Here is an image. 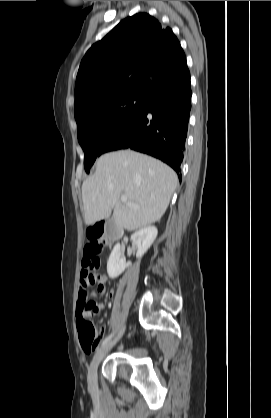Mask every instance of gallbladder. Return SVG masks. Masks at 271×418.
I'll list each match as a JSON object with an SVG mask.
<instances>
[{
  "mask_svg": "<svg viewBox=\"0 0 271 418\" xmlns=\"http://www.w3.org/2000/svg\"><path fill=\"white\" fill-rule=\"evenodd\" d=\"M121 232V229L115 224V221L112 217L107 218L106 221V233L109 236L116 235L118 236Z\"/></svg>",
  "mask_w": 271,
  "mask_h": 418,
  "instance_id": "obj_1",
  "label": "gallbladder"
}]
</instances>
